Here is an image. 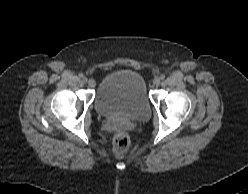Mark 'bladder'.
Wrapping results in <instances>:
<instances>
[{
  "instance_id": "31cf9c89",
  "label": "bladder",
  "mask_w": 248,
  "mask_h": 194,
  "mask_svg": "<svg viewBox=\"0 0 248 194\" xmlns=\"http://www.w3.org/2000/svg\"><path fill=\"white\" fill-rule=\"evenodd\" d=\"M94 105L103 116L146 119L150 115L151 103L144 77L132 70L107 74L98 84Z\"/></svg>"
}]
</instances>
